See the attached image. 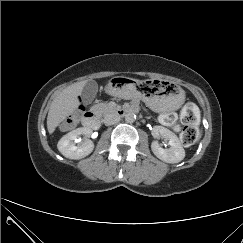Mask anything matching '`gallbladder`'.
Listing matches in <instances>:
<instances>
[{
  "instance_id": "1",
  "label": "gallbladder",
  "mask_w": 243,
  "mask_h": 243,
  "mask_svg": "<svg viewBox=\"0 0 243 243\" xmlns=\"http://www.w3.org/2000/svg\"><path fill=\"white\" fill-rule=\"evenodd\" d=\"M97 91H98L97 83L94 80L88 81L85 84L81 93L83 102L86 104H90L94 100Z\"/></svg>"
}]
</instances>
